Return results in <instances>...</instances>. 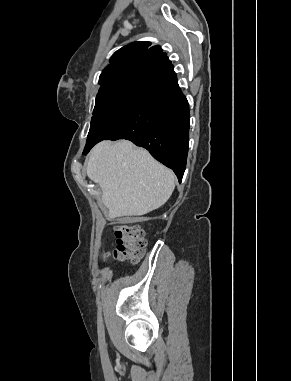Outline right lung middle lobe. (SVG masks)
Segmentation results:
<instances>
[{
    "label": "right lung middle lobe",
    "instance_id": "obj_1",
    "mask_svg": "<svg viewBox=\"0 0 291 381\" xmlns=\"http://www.w3.org/2000/svg\"><path fill=\"white\" fill-rule=\"evenodd\" d=\"M142 77L128 78L117 85L100 90L91 119L85 148L104 139H114L133 100Z\"/></svg>",
    "mask_w": 291,
    "mask_h": 381
}]
</instances>
